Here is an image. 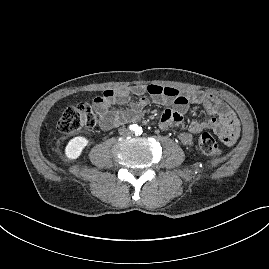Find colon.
<instances>
[{"label":"colon","mask_w":269,"mask_h":269,"mask_svg":"<svg viewBox=\"0 0 269 269\" xmlns=\"http://www.w3.org/2000/svg\"><path fill=\"white\" fill-rule=\"evenodd\" d=\"M101 123L99 112L87 103L69 106L62 112L57 127L63 134H72L83 128H92ZM199 150L212 158L221 155V149L215 138L209 133H203L198 138Z\"/></svg>","instance_id":"colon-1"}]
</instances>
